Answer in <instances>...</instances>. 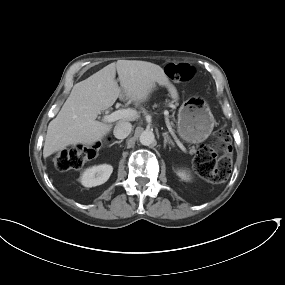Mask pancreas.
<instances>
[{
    "label": "pancreas",
    "mask_w": 285,
    "mask_h": 285,
    "mask_svg": "<svg viewBox=\"0 0 285 285\" xmlns=\"http://www.w3.org/2000/svg\"><path fill=\"white\" fill-rule=\"evenodd\" d=\"M171 124H172V123H171ZM193 152H194V150H193V149H191V150H190V153H193Z\"/></svg>",
    "instance_id": "obj_1"
}]
</instances>
